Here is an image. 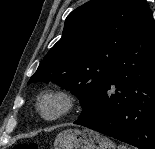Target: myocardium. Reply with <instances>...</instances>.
<instances>
[{
    "instance_id": "f54148a6",
    "label": "myocardium",
    "mask_w": 155,
    "mask_h": 149,
    "mask_svg": "<svg viewBox=\"0 0 155 149\" xmlns=\"http://www.w3.org/2000/svg\"><path fill=\"white\" fill-rule=\"evenodd\" d=\"M46 101H56L59 103V110L54 114H48L43 105ZM77 104L76 96L65 89H49L42 92L36 101L38 114L47 121H57L69 116Z\"/></svg>"
}]
</instances>
